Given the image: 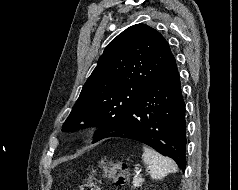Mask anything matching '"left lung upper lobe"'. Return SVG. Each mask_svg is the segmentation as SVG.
I'll return each instance as SVG.
<instances>
[{
  "label": "left lung upper lobe",
  "instance_id": "obj_1",
  "mask_svg": "<svg viewBox=\"0 0 238 190\" xmlns=\"http://www.w3.org/2000/svg\"><path fill=\"white\" fill-rule=\"evenodd\" d=\"M173 59L169 44L157 30L145 24L127 28L105 48L63 130L73 131L93 122L99 126L93 142L99 141Z\"/></svg>",
  "mask_w": 238,
  "mask_h": 190
}]
</instances>
